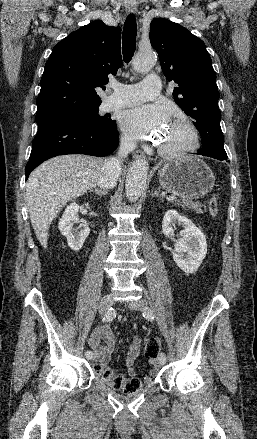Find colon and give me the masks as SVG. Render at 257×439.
Listing matches in <instances>:
<instances>
[{"label":"colon","instance_id":"colon-1","mask_svg":"<svg viewBox=\"0 0 257 439\" xmlns=\"http://www.w3.org/2000/svg\"><path fill=\"white\" fill-rule=\"evenodd\" d=\"M218 212L217 200L212 198L209 202V213L211 216H216ZM161 346L160 339L151 337L145 345V355L149 359H155ZM94 371L98 374L108 385L123 393L129 394L136 392L140 386V380L137 378H126L122 374L114 373L110 368L103 367L99 364L94 366Z\"/></svg>","mask_w":257,"mask_h":439}]
</instances>
